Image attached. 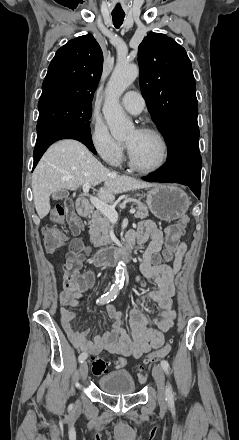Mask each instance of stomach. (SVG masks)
<instances>
[{"mask_svg":"<svg viewBox=\"0 0 239 440\" xmlns=\"http://www.w3.org/2000/svg\"><path fill=\"white\" fill-rule=\"evenodd\" d=\"M146 204L156 218L172 222L186 214L191 202L187 194L174 184L172 186L158 184L148 192Z\"/></svg>","mask_w":239,"mask_h":440,"instance_id":"0dacf381","label":"stomach"}]
</instances>
